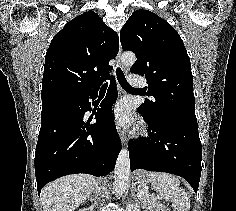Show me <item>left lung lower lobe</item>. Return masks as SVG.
Returning <instances> with one entry per match:
<instances>
[{
  "mask_svg": "<svg viewBox=\"0 0 236 211\" xmlns=\"http://www.w3.org/2000/svg\"><path fill=\"white\" fill-rule=\"evenodd\" d=\"M138 111L151 131L149 138L129 142L131 171L145 169L179 175L197 192L202 159L197 120L150 117L140 108Z\"/></svg>",
  "mask_w": 236,
  "mask_h": 211,
  "instance_id": "0a47b994",
  "label": "left lung lower lobe"
}]
</instances>
